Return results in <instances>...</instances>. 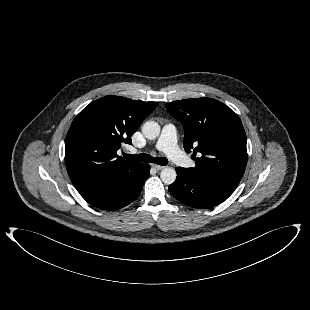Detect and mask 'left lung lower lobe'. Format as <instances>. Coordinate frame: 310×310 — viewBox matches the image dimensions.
Wrapping results in <instances>:
<instances>
[{
  "instance_id": "1",
  "label": "left lung lower lobe",
  "mask_w": 310,
  "mask_h": 310,
  "mask_svg": "<svg viewBox=\"0 0 310 310\" xmlns=\"http://www.w3.org/2000/svg\"><path fill=\"white\" fill-rule=\"evenodd\" d=\"M177 178L169 185L170 193L180 202L194 208H211L226 200L236 187L194 174L187 168H176Z\"/></svg>"
}]
</instances>
